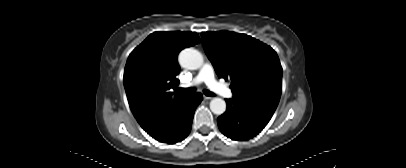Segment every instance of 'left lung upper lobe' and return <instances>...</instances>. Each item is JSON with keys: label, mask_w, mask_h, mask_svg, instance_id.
<instances>
[{"label": "left lung upper lobe", "mask_w": 406, "mask_h": 168, "mask_svg": "<svg viewBox=\"0 0 406 168\" xmlns=\"http://www.w3.org/2000/svg\"><path fill=\"white\" fill-rule=\"evenodd\" d=\"M201 35L218 77L231 79L233 98L275 110L282 91V67L277 53L245 34L219 31Z\"/></svg>", "instance_id": "obj_1"}]
</instances>
